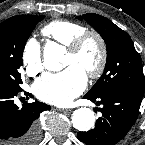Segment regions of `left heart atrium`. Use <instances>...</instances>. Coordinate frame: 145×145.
<instances>
[{"instance_id":"left-heart-atrium-1","label":"left heart atrium","mask_w":145,"mask_h":145,"mask_svg":"<svg viewBox=\"0 0 145 145\" xmlns=\"http://www.w3.org/2000/svg\"><path fill=\"white\" fill-rule=\"evenodd\" d=\"M87 82L85 72L71 65L59 73H48L33 85L35 95L42 101L64 106L78 96Z\"/></svg>"}]
</instances>
